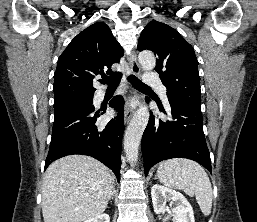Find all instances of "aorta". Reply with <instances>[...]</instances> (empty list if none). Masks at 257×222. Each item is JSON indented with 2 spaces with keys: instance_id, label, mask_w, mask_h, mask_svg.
<instances>
[{
  "instance_id": "762f6f07",
  "label": "aorta",
  "mask_w": 257,
  "mask_h": 222,
  "mask_svg": "<svg viewBox=\"0 0 257 222\" xmlns=\"http://www.w3.org/2000/svg\"><path fill=\"white\" fill-rule=\"evenodd\" d=\"M138 58L143 70L150 71L155 67L156 60L152 52L143 51L139 54ZM149 116L147 106H140L125 132L124 150L128 161L131 163H135L138 159L140 141L148 124Z\"/></svg>"
}]
</instances>
